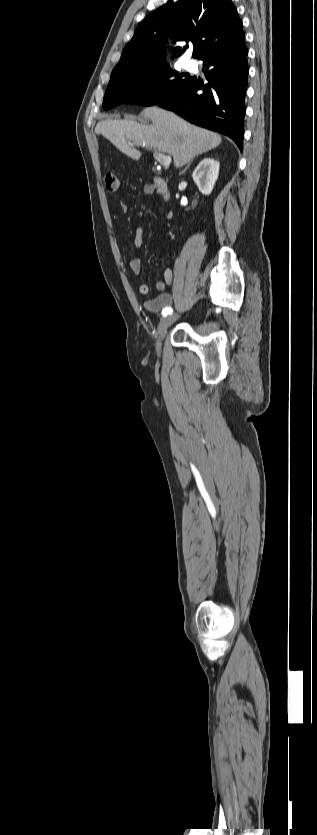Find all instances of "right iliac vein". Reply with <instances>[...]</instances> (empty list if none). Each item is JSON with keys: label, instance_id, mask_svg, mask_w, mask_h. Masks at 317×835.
Wrapping results in <instances>:
<instances>
[{"label": "right iliac vein", "instance_id": "1", "mask_svg": "<svg viewBox=\"0 0 317 835\" xmlns=\"http://www.w3.org/2000/svg\"><path fill=\"white\" fill-rule=\"evenodd\" d=\"M178 317L179 316L177 314H171V315H167V316H165L164 318L161 319V321L159 323V326H158V331H157V343H156L157 350H160L161 341H162V338L165 335L167 329L178 319Z\"/></svg>", "mask_w": 317, "mask_h": 835}]
</instances>
